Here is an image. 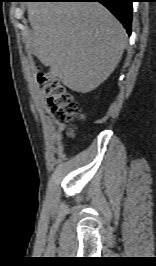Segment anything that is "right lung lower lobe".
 <instances>
[{
  "mask_svg": "<svg viewBox=\"0 0 156 266\" xmlns=\"http://www.w3.org/2000/svg\"><path fill=\"white\" fill-rule=\"evenodd\" d=\"M52 2H100L106 6L131 34L132 2L133 0H37Z\"/></svg>",
  "mask_w": 156,
  "mask_h": 266,
  "instance_id": "right-lung-lower-lobe-1",
  "label": "right lung lower lobe"
}]
</instances>
